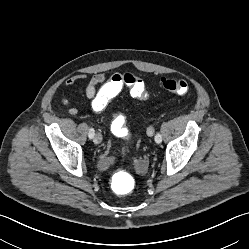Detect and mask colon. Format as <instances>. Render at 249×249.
Listing matches in <instances>:
<instances>
[{"label": "colon", "mask_w": 249, "mask_h": 249, "mask_svg": "<svg viewBox=\"0 0 249 249\" xmlns=\"http://www.w3.org/2000/svg\"><path fill=\"white\" fill-rule=\"evenodd\" d=\"M111 91L106 100V104L113 99L122 88L127 87L130 95L134 98L145 99L147 98V89L144 80L132 73H115L110 79ZM162 86L168 92L176 95H185L189 91V84L184 79H164ZM112 132L118 137L127 138L129 136V129L124 119L115 122L112 126ZM129 177L125 173H118L114 179L115 193L118 195H125L130 192V189L124 184L128 181Z\"/></svg>", "instance_id": "1"}]
</instances>
